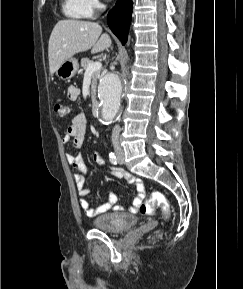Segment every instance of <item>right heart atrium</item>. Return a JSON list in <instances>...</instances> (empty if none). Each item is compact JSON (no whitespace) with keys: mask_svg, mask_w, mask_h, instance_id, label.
Returning a JSON list of instances; mask_svg holds the SVG:
<instances>
[{"mask_svg":"<svg viewBox=\"0 0 243 289\" xmlns=\"http://www.w3.org/2000/svg\"><path fill=\"white\" fill-rule=\"evenodd\" d=\"M81 1L90 15L95 14L102 7V3L100 0H81Z\"/></svg>","mask_w":243,"mask_h":289,"instance_id":"right-heart-atrium-1","label":"right heart atrium"}]
</instances>
